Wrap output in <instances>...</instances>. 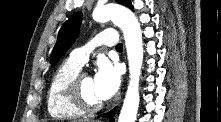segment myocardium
<instances>
[{
    "instance_id": "f54148a6",
    "label": "myocardium",
    "mask_w": 221,
    "mask_h": 122,
    "mask_svg": "<svg viewBox=\"0 0 221 122\" xmlns=\"http://www.w3.org/2000/svg\"><path fill=\"white\" fill-rule=\"evenodd\" d=\"M89 76L87 73L79 71L68 83L67 93L71 102L87 113H93L101 110L104 107V103H92L83 94L82 81Z\"/></svg>"
}]
</instances>
